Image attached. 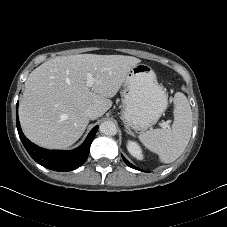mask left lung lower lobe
Returning a JSON list of instances; mask_svg holds the SVG:
<instances>
[{"label":"left lung lower lobe","mask_w":227,"mask_h":227,"mask_svg":"<svg viewBox=\"0 0 227 227\" xmlns=\"http://www.w3.org/2000/svg\"><path fill=\"white\" fill-rule=\"evenodd\" d=\"M122 158H123L124 162H125L128 166H130V167H132V168H134V169L139 170L137 167H135V166H133L131 163H129L123 156H122Z\"/></svg>","instance_id":"1"}]
</instances>
